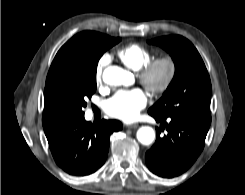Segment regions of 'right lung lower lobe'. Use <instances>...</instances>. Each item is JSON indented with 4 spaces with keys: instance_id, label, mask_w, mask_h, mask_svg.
Listing matches in <instances>:
<instances>
[{
    "instance_id": "right-lung-lower-lobe-1",
    "label": "right lung lower lobe",
    "mask_w": 245,
    "mask_h": 195,
    "mask_svg": "<svg viewBox=\"0 0 245 195\" xmlns=\"http://www.w3.org/2000/svg\"><path fill=\"white\" fill-rule=\"evenodd\" d=\"M122 129L117 120H102L98 124L84 117L70 121L58 133L47 137L57 165L65 172L84 176L101 167L108 154L110 135Z\"/></svg>"
}]
</instances>
